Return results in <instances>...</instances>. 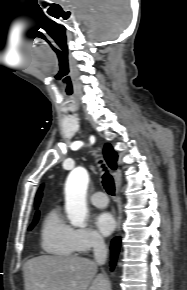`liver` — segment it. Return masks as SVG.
Instances as JSON below:
<instances>
[{
	"mask_svg": "<svg viewBox=\"0 0 187 290\" xmlns=\"http://www.w3.org/2000/svg\"><path fill=\"white\" fill-rule=\"evenodd\" d=\"M25 290H111L97 263L77 256L42 255L23 265Z\"/></svg>",
	"mask_w": 187,
	"mask_h": 290,
	"instance_id": "liver-1",
	"label": "liver"
}]
</instances>
